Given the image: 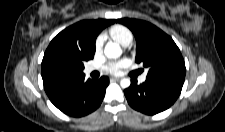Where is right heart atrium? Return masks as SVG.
I'll return each mask as SVG.
<instances>
[{
	"mask_svg": "<svg viewBox=\"0 0 225 132\" xmlns=\"http://www.w3.org/2000/svg\"><path fill=\"white\" fill-rule=\"evenodd\" d=\"M103 45V37L99 36L95 41V51L99 52Z\"/></svg>",
	"mask_w": 225,
	"mask_h": 132,
	"instance_id": "obj_1",
	"label": "right heart atrium"
}]
</instances>
